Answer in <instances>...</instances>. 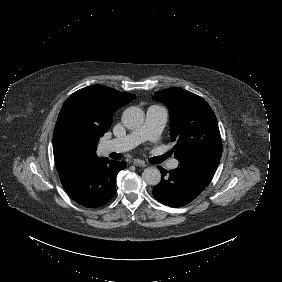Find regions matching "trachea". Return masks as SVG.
Instances as JSON below:
<instances>
[{
    "label": "trachea",
    "instance_id": "trachea-1",
    "mask_svg": "<svg viewBox=\"0 0 282 282\" xmlns=\"http://www.w3.org/2000/svg\"><path fill=\"white\" fill-rule=\"evenodd\" d=\"M118 154V156H116V155H113V153L112 154H110V157H112L113 159H116V160H120V159H122V154H120V153H117Z\"/></svg>",
    "mask_w": 282,
    "mask_h": 282
}]
</instances>
